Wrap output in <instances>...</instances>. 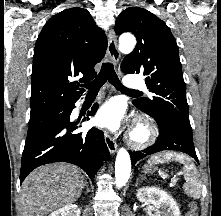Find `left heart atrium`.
Instances as JSON below:
<instances>
[{
	"label": "left heart atrium",
	"instance_id": "obj_1",
	"mask_svg": "<svg viewBox=\"0 0 221 216\" xmlns=\"http://www.w3.org/2000/svg\"><path fill=\"white\" fill-rule=\"evenodd\" d=\"M124 119L123 108L120 103L110 101L104 104L97 112L94 123L112 131L117 130Z\"/></svg>",
	"mask_w": 221,
	"mask_h": 216
}]
</instances>
